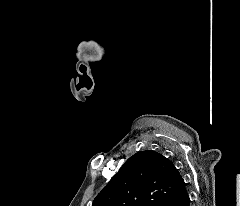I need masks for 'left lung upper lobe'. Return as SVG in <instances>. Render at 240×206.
<instances>
[{
	"mask_svg": "<svg viewBox=\"0 0 240 206\" xmlns=\"http://www.w3.org/2000/svg\"><path fill=\"white\" fill-rule=\"evenodd\" d=\"M180 178L168 158L152 150L140 151L124 163L92 206H166Z\"/></svg>",
	"mask_w": 240,
	"mask_h": 206,
	"instance_id": "1",
	"label": "left lung upper lobe"
}]
</instances>
